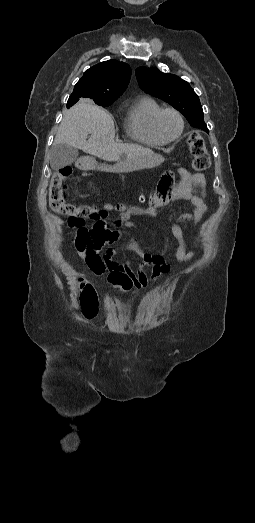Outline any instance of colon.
Masks as SVG:
<instances>
[{
    "instance_id": "obj_1",
    "label": "colon",
    "mask_w": 255,
    "mask_h": 523,
    "mask_svg": "<svg viewBox=\"0 0 255 523\" xmlns=\"http://www.w3.org/2000/svg\"><path fill=\"white\" fill-rule=\"evenodd\" d=\"M187 144L191 155L193 156L192 168L201 172L209 168L210 157L206 150L205 141L198 132H191L187 138ZM72 174L71 167H62L57 169L51 179L49 189V204L51 209L57 214L67 216L75 224H83L86 220L101 221L107 217V211L97 209L90 205H75L66 201L65 180ZM168 189V181L164 179L159 191L160 195ZM120 211L125 207L117 206ZM109 279L114 284H118L123 290H130L135 285L134 281L125 274L111 273ZM79 286L82 289L81 305L84 315L87 318L93 317L97 312V299L95 291L91 284L85 279L79 280Z\"/></svg>"
}]
</instances>
